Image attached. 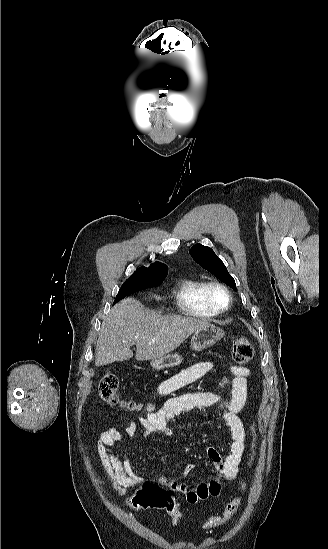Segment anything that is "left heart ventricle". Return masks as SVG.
<instances>
[{"label":"left heart ventricle","mask_w":328,"mask_h":549,"mask_svg":"<svg viewBox=\"0 0 328 549\" xmlns=\"http://www.w3.org/2000/svg\"><path fill=\"white\" fill-rule=\"evenodd\" d=\"M213 300H214L215 305L218 308L222 309L226 306V304L228 302V297L223 291L218 290V291L214 292Z\"/></svg>","instance_id":"obj_1"}]
</instances>
